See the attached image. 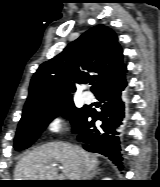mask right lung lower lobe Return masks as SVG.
<instances>
[{"instance_id":"right-lung-lower-lobe-1","label":"right lung lower lobe","mask_w":160,"mask_h":187,"mask_svg":"<svg viewBox=\"0 0 160 187\" xmlns=\"http://www.w3.org/2000/svg\"><path fill=\"white\" fill-rule=\"evenodd\" d=\"M126 71V66H124L117 75L101 83L94 92L101 102L100 110L86 108L85 115L73 129V132L78 134L77 140L83 143L85 150L109 157L120 169L123 168L122 157L117 136L119 133L115 129L119 127L124 118L121 92L127 85ZM88 118H91V121ZM97 120L102 121L99 127L95 126Z\"/></svg>"}]
</instances>
